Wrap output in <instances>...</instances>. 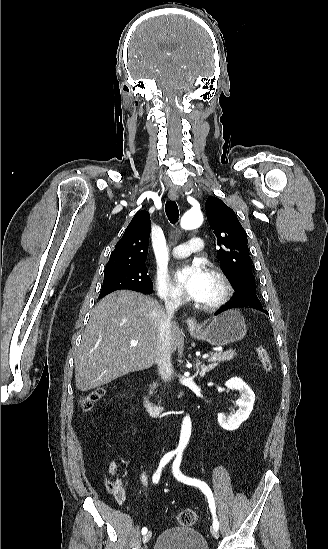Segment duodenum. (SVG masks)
Returning a JSON list of instances; mask_svg holds the SVG:
<instances>
[{"instance_id":"410a0bca","label":"duodenum","mask_w":328,"mask_h":549,"mask_svg":"<svg viewBox=\"0 0 328 549\" xmlns=\"http://www.w3.org/2000/svg\"><path fill=\"white\" fill-rule=\"evenodd\" d=\"M142 404L145 410L154 416H164L170 412V408L168 406L152 402L145 393L142 395Z\"/></svg>"}]
</instances>
